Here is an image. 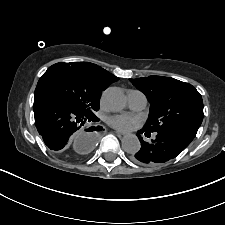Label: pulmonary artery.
Returning a JSON list of instances; mask_svg holds the SVG:
<instances>
[{
  "label": "pulmonary artery",
  "mask_w": 225,
  "mask_h": 225,
  "mask_svg": "<svg viewBox=\"0 0 225 225\" xmlns=\"http://www.w3.org/2000/svg\"><path fill=\"white\" fill-rule=\"evenodd\" d=\"M128 106L132 110H142L147 105V97L144 93L138 90H129L127 92Z\"/></svg>",
  "instance_id": "obj_1"
}]
</instances>
